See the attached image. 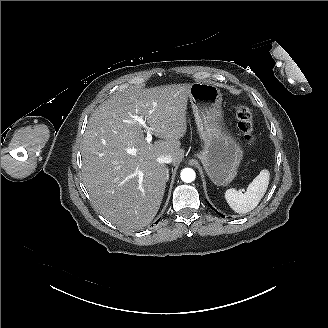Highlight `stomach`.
Masks as SVG:
<instances>
[{
    "label": "stomach",
    "mask_w": 328,
    "mask_h": 328,
    "mask_svg": "<svg viewBox=\"0 0 328 328\" xmlns=\"http://www.w3.org/2000/svg\"><path fill=\"white\" fill-rule=\"evenodd\" d=\"M190 99L201 142L197 157L213 184L228 186L238 175L244 149L225 122L220 90L211 82L194 83Z\"/></svg>",
    "instance_id": "obj_1"
}]
</instances>
